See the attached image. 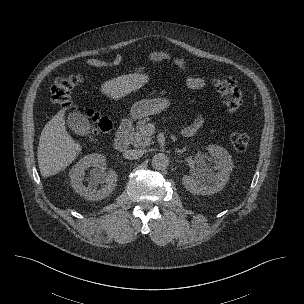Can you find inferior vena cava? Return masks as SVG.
<instances>
[{
	"label": "inferior vena cava",
	"instance_id": "inferior-vena-cava-1",
	"mask_svg": "<svg viewBox=\"0 0 304 304\" xmlns=\"http://www.w3.org/2000/svg\"><path fill=\"white\" fill-rule=\"evenodd\" d=\"M144 154V151L141 149H133V150H127L124 152V157L126 159H130V160H135V159H139L140 157H142V155Z\"/></svg>",
	"mask_w": 304,
	"mask_h": 304
}]
</instances>
